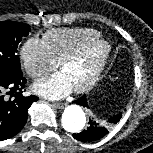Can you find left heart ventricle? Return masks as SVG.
Listing matches in <instances>:
<instances>
[{
  "mask_svg": "<svg viewBox=\"0 0 153 153\" xmlns=\"http://www.w3.org/2000/svg\"><path fill=\"white\" fill-rule=\"evenodd\" d=\"M98 57L99 49H95L85 58L64 68L63 73L67 76L73 88L86 81L97 62Z\"/></svg>",
  "mask_w": 153,
  "mask_h": 153,
  "instance_id": "b2bd125f",
  "label": "left heart ventricle"
}]
</instances>
